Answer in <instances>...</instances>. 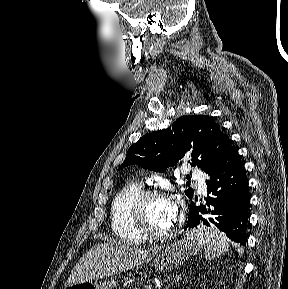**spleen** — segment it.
Wrapping results in <instances>:
<instances>
[{
	"mask_svg": "<svg viewBox=\"0 0 288 289\" xmlns=\"http://www.w3.org/2000/svg\"><path fill=\"white\" fill-rule=\"evenodd\" d=\"M188 234L193 235L204 246L205 257L209 260L224 254L229 249L224 234L215 227L199 226L198 229L191 230Z\"/></svg>",
	"mask_w": 288,
	"mask_h": 289,
	"instance_id": "1",
	"label": "spleen"
}]
</instances>
